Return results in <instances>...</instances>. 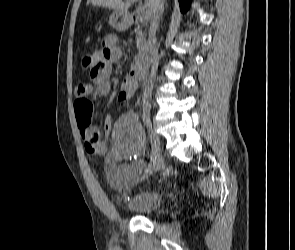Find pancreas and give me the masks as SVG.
I'll use <instances>...</instances> for the list:
<instances>
[{
    "label": "pancreas",
    "instance_id": "pancreas-1",
    "mask_svg": "<svg viewBox=\"0 0 295 250\" xmlns=\"http://www.w3.org/2000/svg\"><path fill=\"white\" fill-rule=\"evenodd\" d=\"M134 32L136 33V44L138 49V56L137 61L140 59L141 55L146 51L147 49V41L145 37V32L140 28L137 27Z\"/></svg>",
    "mask_w": 295,
    "mask_h": 250
}]
</instances>
